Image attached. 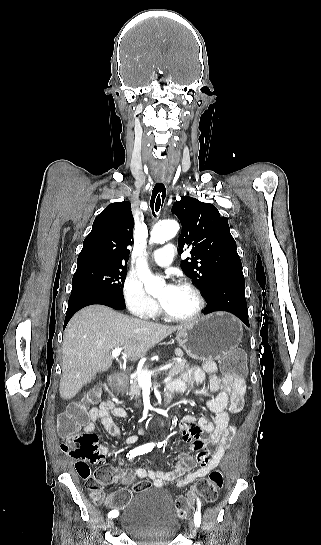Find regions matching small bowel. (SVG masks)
I'll return each mask as SVG.
<instances>
[{
  "mask_svg": "<svg viewBox=\"0 0 321 545\" xmlns=\"http://www.w3.org/2000/svg\"><path fill=\"white\" fill-rule=\"evenodd\" d=\"M216 372V363L209 360L201 366L190 367L182 373L179 380L173 382L178 386L180 392H186L191 385L202 383L206 374L212 375L208 382V389L216 393V395L204 403L206 408L215 415L214 419L188 415L184 417L181 425L182 438L188 442L189 450L197 453L195 457L187 452H182L178 463L169 472L137 467L132 473L122 467L103 465L104 458L110 455L111 452L109 448L101 445L100 456L90 459V461L92 464L101 465L98 471L105 475L104 483L127 482L134 474L139 478L151 480L153 486L157 488H164L173 483L177 489H182L215 469L230 446L236 432L235 425L230 422L229 414L238 413L242 410L246 393L243 378H233L226 374L217 375ZM126 415L127 411L124 408L115 406L113 401H104L100 407H94L89 411L84 430L87 433H92L96 422H100L106 433L122 438L119 428L113 422V417L122 418ZM137 440L138 438L135 435L127 436L124 439L127 444H134ZM117 461L119 465L124 464L121 457H118ZM197 464L199 467L193 470ZM76 470L79 475H81L82 470L87 474H91L86 460H78Z\"/></svg>",
  "mask_w": 321,
  "mask_h": 545,
  "instance_id": "1",
  "label": "small bowel"
}]
</instances>
